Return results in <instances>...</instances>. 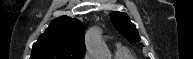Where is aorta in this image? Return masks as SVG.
I'll use <instances>...</instances> for the list:
<instances>
[{
    "instance_id": "obj_1",
    "label": "aorta",
    "mask_w": 193,
    "mask_h": 59,
    "mask_svg": "<svg viewBox=\"0 0 193 59\" xmlns=\"http://www.w3.org/2000/svg\"><path fill=\"white\" fill-rule=\"evenodd\" d=\"M87 50L97 57H108V50L96 28L90 29L86 34Z\"/></svg>"
}]
</instances>
